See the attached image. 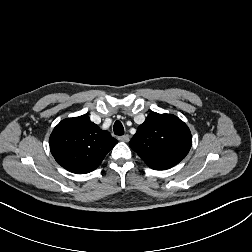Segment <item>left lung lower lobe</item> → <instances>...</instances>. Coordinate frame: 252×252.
Here are the masks:
<instances>
[{
    "mask_svg": "<svg viewBox=\"0 0 252 252\" xmlns=\"http://www.w3.org/2000/svg\"><path fill=\"white\" fill-rule=\"evenodd\" d=\"M174 165L173 164H163V165H160V166H157L155 168V170H163V169H169L171 167H173Z\"/></svg>",
    "mask_w": 252,
    "mask_h": 252,
    "instance_id": "obj_1",
    "label": "left lung lower lobe"
}]
</instances>
